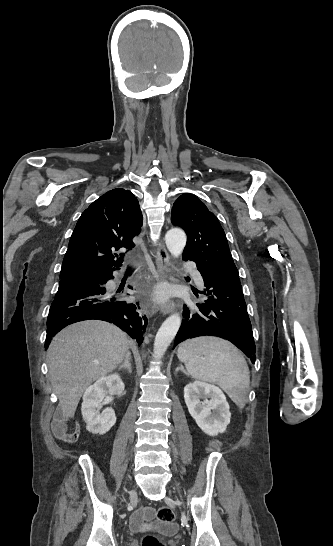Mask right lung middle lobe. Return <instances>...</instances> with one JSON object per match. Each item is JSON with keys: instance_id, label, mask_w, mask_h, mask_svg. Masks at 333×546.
Instances as JSON below:
<instances>
[{"instance_id": "obj_1", "label": "right lung middle lobe", "mask_w": 333, "mask_h": 546, "mask_svg": "<svg viewBox=\"0 0 333 546\" xmlns=\"http://www.w3.org/2000/svg\"><path fill=\"white\" fill-rule=\"evenodd\" d=\"M105 279V276H92V277H86V278H79V279H71V280H62L59 282V288L58 290L75 287L79 285H84L88 283H100L103 284Z\"/></svg>"}]
</instances>
